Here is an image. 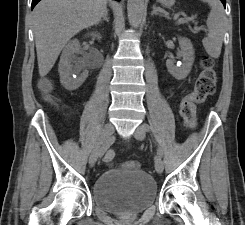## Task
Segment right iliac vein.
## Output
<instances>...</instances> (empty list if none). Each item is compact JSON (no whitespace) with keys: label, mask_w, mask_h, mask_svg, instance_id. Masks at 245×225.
Listing matches in <instances>:
<instances>
[{"label":"right iliac vein","mask_w":245,"mask_h":225,"mask_svg":"<svg viewBox=\"0 0 245 225\" xmlns=\"http://www.w3.org/2000/svg\"><path fill=\"white\" fill-rule=\"evenodd\" d=\"M113 133H114L113 125L111 123H107L102 129L98 143L93 148L90 154L89 164L91 167L95 165L96 161L98 160V158L100 157L103 151L102 150L103 145L112 137Z\"/></svg>","instance_id":"obj_1"}]
</instances>
